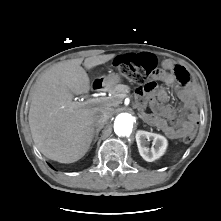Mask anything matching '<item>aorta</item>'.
<instances>
[{
	"instance_id": "obj_1",
	"label": "aorta",
	"mask_w": 221,
	"mask_h": 221,
	"mask_svg": "<svg viewBox=\"0 0 221 221\" xmlns=\"http://www.w3.org/2000/svg\"><path fill=\"white\" fill-rule=\"evenodd\" d=\"M135 118L129 113H120L114 121V131L117 135L128 136L132 132Z\"/></svg>"
}]
</instances>
